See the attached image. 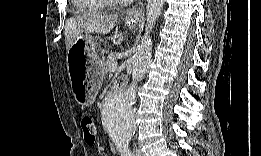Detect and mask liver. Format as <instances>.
Returning <instances> with one entry per match:
<instances>
[{
	"mask_svg": "<svg viewBox=\"0 0 261 156\" xmlns=\"http://www.w3.org/2000/svg\"><path fill=\"white\" fill-rule=\"evenodd\" d=\"M117 20V15L107 13L82 15L68 19L64 27L66 50L70 49L80 35L110 33Z\"/></svg>",
	"mask_w": 261,
	"mask_h": 156,
	"instance_id": "liver-1",
	"label": "liver"
}]
</instances>
